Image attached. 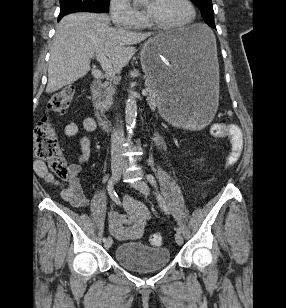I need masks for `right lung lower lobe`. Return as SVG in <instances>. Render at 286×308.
Wrapping results in <instances>:
<instances>
[{"mask_svg":"<svg viewBox=\"0 0 286 308\" xmlns=\"http://www.w3.org/2000/svg\"><path fill=\"white\" fill-rule=\"evenodd\" d=\"M66 14H60L59 17H58V21Z\"/></svg>","mask_w":286,"mask_h":308,"instance_id":"1","label":"right lung lower lobe"}]
</instances>
